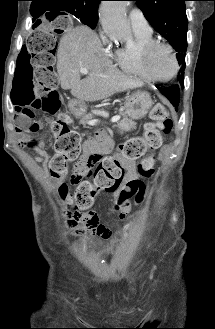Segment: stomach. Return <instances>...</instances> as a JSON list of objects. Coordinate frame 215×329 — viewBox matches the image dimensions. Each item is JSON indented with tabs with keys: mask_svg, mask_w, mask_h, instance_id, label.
Here are the masks:
<instances>
[{
	"mask_svg": "<svg viewBox=\"0 0 215 329\" xmlns=\"http://www.w3.org/2000/svg\"><path fill=\"white\" fill-rule=\"evenodd\" d=\"M152 105L153 101L150 94L138 90L128 97L124 107L126 115L130 119L138 120L146 116ZM68 108L75 115H82L86 112L85 104L78 99L70 100Z\"/></svg>",
	"mask_w": 215,
	"mask_h": 329,
	"instance_id": "0dacf381",
	"label": "stomach"
}]
</instances>
